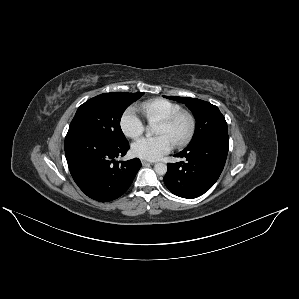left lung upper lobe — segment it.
Here are the masks:
<instances>
[{
	"instance_id": "1",
	"label": "left lung upper lobe",
	"mask_w": 299,
	"mask_h": 299,
	"mask_svg": "<svg viewBox=\"0 0 299 299\" xmlns=\"http://www.w3.org/2000/svg\"><path fill=\"white\" fill-rule=\"evenodd\" d=\"M168 99L184 103L193 113L196 123L194 136L185 148L192 147L210 137L216 135H227V123L218 107L196 98L164 96Z\"/></svg>"
}]
</instances>
